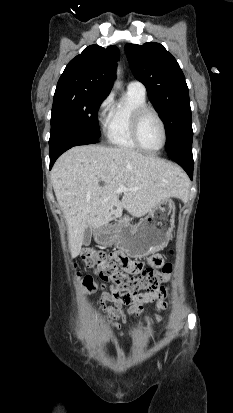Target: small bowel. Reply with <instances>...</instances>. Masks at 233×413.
<instances>
[{
  "label": "small bowel",
  "instance_id": "1",
  "mask_svg": "<svg viewBox=\"0 0 233 413\" xmlns=\"http://www.w3.org/2000/svg\"><path fill=\"white\" fill-rule=\"evenodd\" d=\"M113 260L116 265L120 267V271L125 273L127 276H137L139 270H143L145 264L143 261H136L134 255H126L123 253L121 247H116L112 252ZM150 263L153 265H158L162 258L159 255L150 256ZM136 261V262H135ZM166 295V289L164 287L159 288L153 292H143V293H123L119 291L115 286L110 287L109 293H103L98 298V304L106 313L107 320L112 323L117 329H120L123 324H126L129 319L142 314L143 306L146 303L158 301V308L162 309L165 306L163 298ZM106 302L113 303L112 306H106ZM130 306L129 310L125 312L123 306ZM151 321L157 322L160 320V316L155 314L150 318ZM121 335L125 333L120 332Z\"/></svg>",
  "mask_w": 233,
  "mask_h": 413
}]
</instances>
